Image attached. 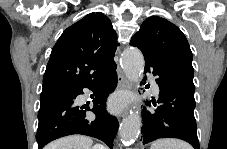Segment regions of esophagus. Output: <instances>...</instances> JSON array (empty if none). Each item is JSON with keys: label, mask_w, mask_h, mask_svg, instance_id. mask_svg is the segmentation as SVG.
<instances>
[{"label": "esophagus", "mask_w": 227, "mask_h": 149, "mask_svg": "<svg viewBox=\"0 0 227 149\" xmlns=\"http://www.w3.org/2000/svg\"><path fill=\"white\" fill-rule=\"evenodd\" d=\"M128 87H129V82H128L127 78L124 76V74L122 72H119L118 73V88L119 89H126ZM130 115H131V112L126 111V110H123L120 113V117H122L123 119H126L127 116H130Z\"/></svg>", "instance_id": "esophagus-1"}]
</instances>
